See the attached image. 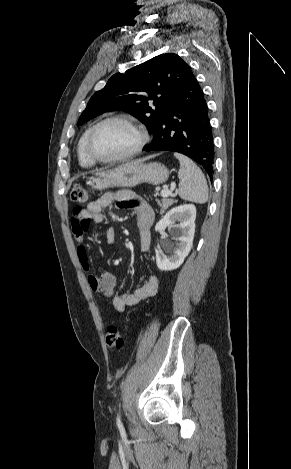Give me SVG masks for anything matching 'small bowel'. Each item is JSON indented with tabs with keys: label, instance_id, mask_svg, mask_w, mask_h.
I'll list each match as a JSON object with an SVG mask.
<instances>
[{
	"label": "small bowel",
	"instance_id": "1",
	"mask_svg": "<svg viewBox=\"0 0 291 469\" xmlns=\"http://www.w3.org/2000/svg\"><path fill=\"white\" fill-rule=\"evenodd\" d=\"M114 202H117L120 207L130 208L135 211L141 250L142 252H147L150 248L151 228L155 219L152 207L131 191L122 190L105 193L97 200L91 202L86 209L75 210L71 218L72 231L79 243L77 255L83 269L87 273L90 271V266L87 249L84 245V235L89 231L91 223H102L104 221V210ZM115 238L116 232L114 228H108L106 231V243L113 244ZM87 280L92 292L112 298L113 308L119 313L124 312L127 307L136 305L154 296L159 286L157 277L151 275L133 292L115 295L118 279L112 272L104 270L99 276L89 274Z\"/></svg>",
	"mask_w": 291,
	"mask_h": 469
}]
</instances>
